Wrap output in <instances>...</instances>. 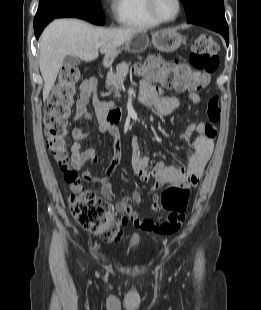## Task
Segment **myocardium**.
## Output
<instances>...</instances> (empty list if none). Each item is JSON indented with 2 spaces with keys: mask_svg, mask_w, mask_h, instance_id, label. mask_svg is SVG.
Listing matches in <instances>:
<instances>
[{
  "mask_svg": "<svg viewBox=\"0 0 261 310\" xmlns=\"http://www.w3.org/2000/svg\"><path fill=\"white\" fill-rule=\"evenodd\" d=\"M147 1V9L150 13V15L159 23H171L174 22L180 15L181 10H182V3L181 0H175L176 4H177V11L175 13V15L172 18L166 19L161 17L155 8V0H146Z\"/></svg>",
  "mask_w": 261,
  "mask_h": 310,
  "instance_id": "1",
  "label": "myocardium"
}]
</instances>
